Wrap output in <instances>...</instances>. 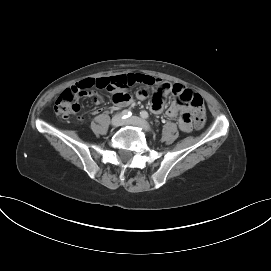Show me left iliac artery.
<instances>
[{
	"instance_id": "44dca946",
	"label": "left iliac artery",
	"mask_w": 271,
	"mask_h": 271,
	"mask_svg": "<svg viewBox=\"0 0 271 271\" xmlns=\"http://www.w3.org/2000/svg\"><path fill=\"white\" fill-rule=\"evenodd\" d=\"M140 116L143 118V119H148L149 118V114L147 111L143 110L140 112Z\"/></svg>"
}]
</instances>
